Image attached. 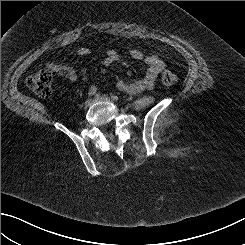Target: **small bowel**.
<instances>
[{
    "label": "small bowel",
    "mask_w": 245,
    "mask_h": 245,
    "mask_svg": "<svg viewBox=\"0 0 245 245\" xmlns=\"http://www.w3.org/2000/svg\"><path fill=\"white\" fill-rule=\"evenodd\" d=\"M76 54L86 55L88 54V50L81 48L76 51ZM129 58L145 64V75L143 78L132 82L118 80L115 83L116 88L127 94H137L145 91H152L155 87V81L157 77L165 68L164 62L157 55H144L140 50L137 49L129 51ZM115 63L127 64L128 60L123 58L114 50L106 51L103 64L110 66ZM46 65L52 72L69 81L77 80L78 76L76 71L71 67L61 64L57 59L49 60ZM96 91V86H92L89 90V94L93 95Z\"/></svg>",
    "instance_id": "obj_1"
}]
</instances>
